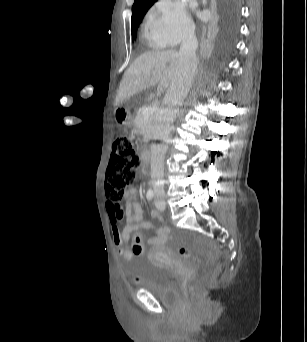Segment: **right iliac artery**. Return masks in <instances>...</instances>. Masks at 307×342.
<instances>
[{
	"mask_svg": "<svg viewBox=\"0 0 307 342\" xmlns=\"http://www.w3.org/2000/svg\"><path fill=\"white\" fill-rule=\"evenodd\" d=\"M153 196H154L153 190H152V189H149V190L147 191V194H146L147 199H148L149 201H151V200L153 199Z\"/></svg>",
	"mask_w": 307,
	"mask_h": 342,
	"instance_id": "1",
	"label": "right iliac artery"
}]
</instances>
